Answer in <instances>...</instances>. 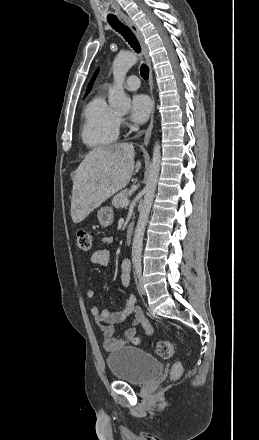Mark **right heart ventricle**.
I'll list each match as a JSON object with an SVG mask.
<instances>
[{
    "instance_id": "obj_1",
    "label": "right heart ventricle",
    "mask_w": 259,
    "mask_h": 440,
    "mask_svg": "<svg viewBox=\"0 0 259 440\" xmlns=\"http://www.w3.org/2000/svg\"><path fill=\"white\" fill-rule=\"evenodd\" d=\"M118 137V115L106 103L103 94L98 93L83 110L81 139L88 148L100 150L114 144Z\"/></svg>"
}]
</instances>
